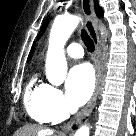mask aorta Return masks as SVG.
<instances>
[{
  "instance_id": "1",
  "label": "aorta",
  "mask_w": 136,
  "mask_h": 136,
  "mask_svg": "<svg viewBox=\"0 0 136 136\" xmlns=\"http://www.w3.org/2000/svg\"><path fill=\"white\" fill-rule=\"evenodd\" d=\"M81 18L76 15L58 16L51 28L46 57V76L52 85H61L67 75V62L64 46L72 32L76 29ZM88 126L80 127L75 136H89Z\"/></svg>"
}]
</instances>
